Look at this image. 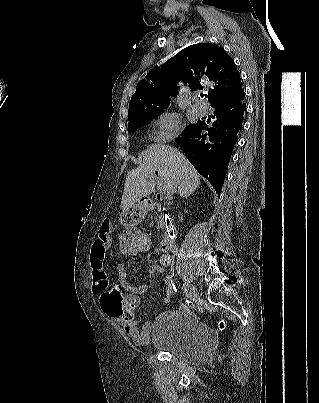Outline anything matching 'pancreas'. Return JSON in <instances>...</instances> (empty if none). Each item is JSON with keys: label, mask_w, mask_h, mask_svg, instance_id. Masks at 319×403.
I'll list each match as a JSON object with an SVG mask.
<instances>
[{"label": "pancreas", "mask_w": 319, "mask_h": 403, "mask_svg": "<svg viewBox=\"0 0 319 403\" xmlns=\"http://www.w3.org/2000/svg\"><path fill=\"white\" fill-rule=\"evenodd\" d=\"M156 222H157V228L158 229H162V228H164V221H163V217H162V215H158V217L156 218Z\"/></svg>", "instance_id": "cf45deb5"}]
</instances>
